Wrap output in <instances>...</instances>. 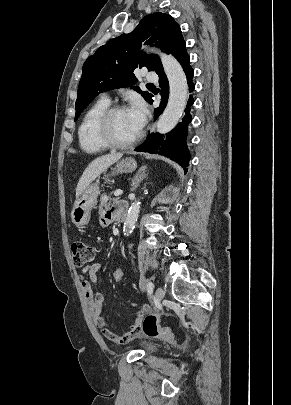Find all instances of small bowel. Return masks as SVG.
I'll list each match as a JSON object with an SVG mask.
<instances>
[{
	"label": "small bowel",
	"mask_w": 291,
	"mask_h": 405,
	"mask_svg": "<svg viewBox=\"0 0 291 405\" xmlns=\"http://www.w3.org/2000/svg\"><path fill=\"white\" fill-rule=\"evenodd\" d=\"M117 217V208L105 211L101 216V224L103 226L109 225ZM101 269L100 263H93L84 268L83 274L88 278H82V288L85 297L88 301L91 317L97 327L100 328L104 337L112 343L122 344L135 338L141 329L143 316L149 311L147 305L142 306L136 313L134 323L130 328L121 333L116 334L108 329V323L103 318V304L104 296L100 292H94L92 283L98 282V272Z\"/></svg>",
	"instance_id": "small-bowel-1"
}]
</instances>
